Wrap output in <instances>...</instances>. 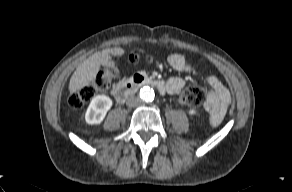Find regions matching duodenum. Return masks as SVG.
<instances>
[{
	"mask_svg": "<svg viewBox=\"0 0 292 192\" xmlns=\"http://www.w3.org/2000/svg\"><path fill=\"white\" fill-rule=\"evenodd\" d=\"M146 85L155 87L160 92L166 91V84L164 81L150 78L143 74H136L119 84L114 89V95L118 102H124L129 96L135 93L138 88Z\"/></svg>",
	"mask_w": 292,
	"mask_h": 192,
	"instance_id": "obj_1",
	"label": "duodenum"
}]
</instances>
